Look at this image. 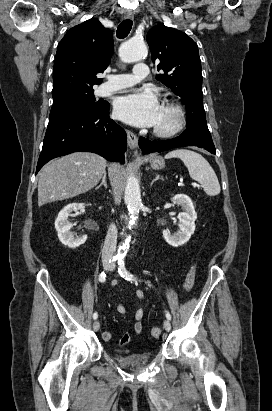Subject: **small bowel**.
Segmentation results:
<instances>
[{
  "label": "small bowel",
  "instance_id": "small-bowel-1",
  "mask_svg": "<svg viewBox=\"0 0 272 411\" xmlns=\"http://www.w3.org/2000/svg\"><path fill=\"white\" fill-rule=\"evenodd\" d=\"M117 281H113L112 285L115 286ZM135 296L137 299L141 302H146L147 299L141 289H137L134 292ZM116 309L119 314L125 315L126 314V309L124 308L123 305L121 304H116ZM144 315V310L142 307H139L134 315V325H133V333L138 335L142 331V319ZM103 340L109 341L112 338V334L110 332H104L103 335ZM132 339V333L131 332H126L122 338L120 339L119 343L116 345L115 350L119 353H126L128 349L126 348V345L130 342Z\"/></svg>",
  "mask_w": 272,
  "mask_h": 411
}]
</instances>
